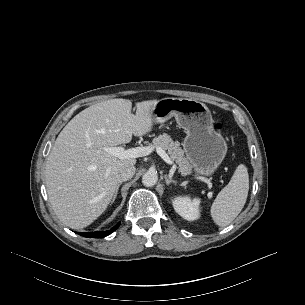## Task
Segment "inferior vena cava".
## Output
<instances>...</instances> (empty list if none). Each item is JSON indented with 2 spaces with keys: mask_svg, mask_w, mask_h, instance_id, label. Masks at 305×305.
Returning <instances> with one entry per match:
<instances>
[{
  "mask_svg": "<svg viewBox=\"0 0 305 305\" xmlns=\"http://www.w3.org/2000/svg\"><path fill=\"white\" fill-rule=\"evenodd\" d=\"M136 168L134 165H127L120 168L117 172L116 178L118 182L130 180L135 174Z\"/></svg>",
  "mask_w": 305,
  "mask_h": 305,
  "instance_id": "602c4592",
  "label": "inferior vena cava"
}]
</instances>
